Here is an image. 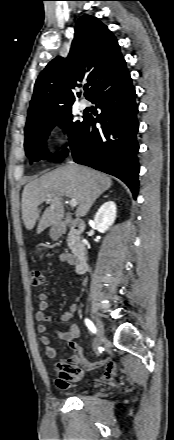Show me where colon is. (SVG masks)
Returning <instances> with one entry per match:
<instances>
[{"instance_id": "colon-1", "label": "colon", "mask_w": 174, "mask_h": 440, "mask_svg": "<svg viewBox=\"0 0 174 440\" xmlns=\"http://www.w3.org/2000/svg\"><path fill=\"white\" fill-rule=\"evenodd\" d=\"M30 282L34 287H38L44 284L45 282V274L42 270L34 269L30 274Z\"/></svg>"}]
</instances>
